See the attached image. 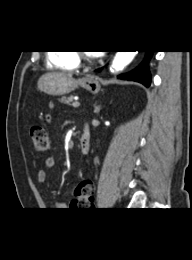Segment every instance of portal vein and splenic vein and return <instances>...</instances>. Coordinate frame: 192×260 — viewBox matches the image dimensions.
I'll return each instance as SVG.
<instances>
[{"mask_svg":"<svg viewBox=\"0 0 192 260\" xmlns=\"http://www.w3.org/2000/svg\"><path fill=\"white\" fill-rule=\"evenodd\" d=\"M72 106H73L74 108H77V107L80 106V103H79L78 101H74V102L72 103Z\"/></svg>","mask_w":192,"mask_h":260,"instance_id":"1","label":"portal vein and splenic vein"}]
</instances>
